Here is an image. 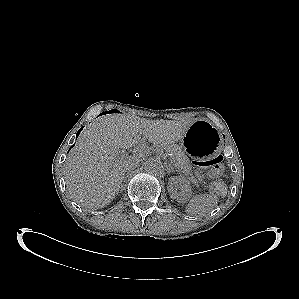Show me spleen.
Wrapping results in <instances>:
<instances>
[{"instance_id": "3e777b00", "label": "spleen", "mask_w": 299, "mask_h": 299, "mask_svg": "<svg viewBox=\"0 0 299 299\" xmlns=\"http://www.w3.org/2000/svg\"><path fill=\"white\" fill-rule=\"evenodd\" d=\"M219 202L216 194H199L193 196L186 206V213L189 215L203 216L210 212Z\"/></svg>"}]
</instances>
